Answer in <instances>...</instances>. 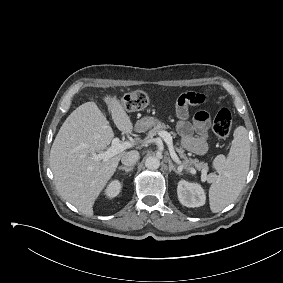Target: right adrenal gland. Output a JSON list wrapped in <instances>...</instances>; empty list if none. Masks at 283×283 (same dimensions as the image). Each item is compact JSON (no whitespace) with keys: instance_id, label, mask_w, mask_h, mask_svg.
Wrapping results in <instances>:
<instances>
[{"instance_id":"right-adrenal-gland-1","label":"right adrenal gland","mask_w":283,"mask_h":283,"mask_svg":"<svg viewBox=\"0 0 283 283\" xmlns=\"http://www.w3.org/2000/svg\"><path fill=\"white\" fill-rule=\"evenodd\" d=\"M119 170L125 171L127 173H129L130 171L133 170V167H125V166H121L118 168Z\"/></svg>"}]
</instances>
